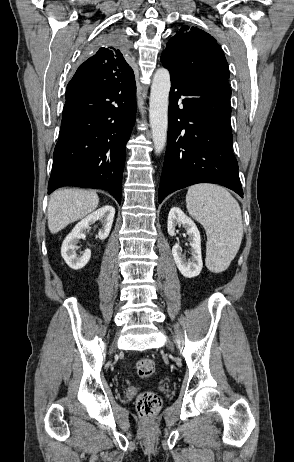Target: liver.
Returning a JSON list of instances; mask_svg holds the SVG:
<instances>
[{"mask_svg":"<svg viewBox=\"0 0 294 462\" xmlns=\"http://www.w3.org/2000/svg\"><path fill=\"white\" fill-rule=\"evenodd\" d=\"M99 197L94 191L81 189H60L55 191L48 203V228L58 233L72 222L82 219L94 211Z\"/></svg>","mask_w":294,"mask_h":462,"instance_id":"obj_1","label":"liver"}]
</instances>
